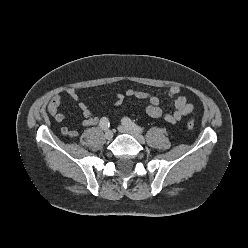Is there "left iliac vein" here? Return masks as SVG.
I'll list each match as a JSON object with an SVG mask.
<instances>
[{
  "label": "left iliac vein",
  "instance_id": "obj_1",
  "mask_svg": "<svg viewBox=\"0 0 248 248\" xmlns=\"http://www.w3.org/2000/svg\"><path fill=\"white\" fill-rule=\"evenodd\" d=\"M118 130L121 133L129 134V135L133 136L141 144L145 143V138L140 133L130 129L129 127H127L125 125L119 126Z\"/></svg>",
  "mask_w": 248,
  "mask_h": 248
}]
</instances>
